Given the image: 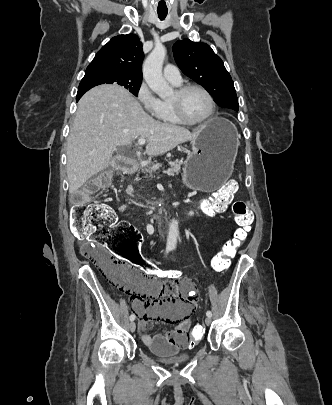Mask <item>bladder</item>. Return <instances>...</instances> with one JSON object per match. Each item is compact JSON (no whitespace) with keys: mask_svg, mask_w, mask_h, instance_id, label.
<instances>
[{"mask_svg":"<svg viewBox=\"0 0 332 405\" xmlns=\"http://www.w3.org/2000/svg\"><path fill=\"white\" fill-rule=\"evenodd\" d=\"M148 350L150 353L155 355L161 361L167 363H184L191 358V355L189 353H181L175 349H172L168 352H159L152 348H148Z\"/></svg>","mask_w":332,"mask_h":405,"instance_id":"31cf9c89","label":"bladder"}]
</instances>
